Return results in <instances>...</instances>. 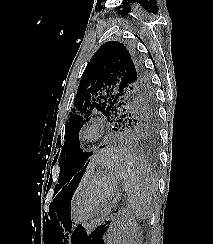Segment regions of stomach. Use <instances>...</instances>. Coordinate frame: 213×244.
<instances>
[{
  "label": "stomach",
  "instance_id": "obj_1",
  "mask_svg": "<svg viewBox=\"0 0 213 244\" xmlns=\"http://www.w3.org/2000/svg\"><path fill=\"white\" fill-rule=\"evenodd\" d=\"M107 168L92 175L89 174L84 185L77 191V210L73 220L84 222L97 216L115 194L119 178L107 163Z\"/></svg>",
  "mask_w": 213,
  "mask_h": 244
}]
</instances>
